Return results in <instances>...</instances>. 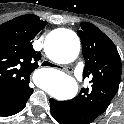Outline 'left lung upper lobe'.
<instances>
[{
	"label": "left lung upper lobe",
	"instance_id": "1",
	"mask_svg": "<svg viewBox=\"0 0 124 124\" xmlns=\"http://www.w3.org/2000/svg\"><path fill=\"white\" fill-rule=\"evenodd\" d=\"M78 34L85 59L83 78H91L92 86L81 89L66 103L75 124H90L107 109L118 91L121 59L111 39L93 24L82 22Z\"/></svg>",
	"mask_w": 124,
	"mask_h": 124
}]
</instances>
